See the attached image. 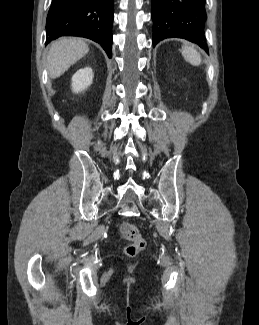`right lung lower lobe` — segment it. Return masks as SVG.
<instances>
[{
  "instance_id": "1",
  "label": "right lung lower lobe",
  "mask_w": 259,
  "mask_h": 325,
  "mask_svg": "<svg viewBox=\"0 0 259 325\" xmlns=\"http://www.w3.org/2000/svg\"><path fill=\"white\" fill-rule=\"evenodd\" d=\"M114 0H53L47 16L46 43L60 36H80L98 42L112 55Z\"/></svg>"
}]
</instances>
